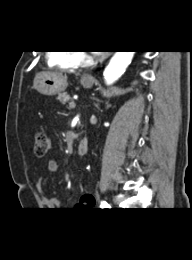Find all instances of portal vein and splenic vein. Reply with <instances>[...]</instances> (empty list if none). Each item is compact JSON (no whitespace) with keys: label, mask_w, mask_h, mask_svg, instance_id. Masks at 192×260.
<instances>
[{"label":"portal vein and splenic vein","mask_w":192,"mask_h":260,"mask_svg":"<svg viewBox=\"0 0 192 260\" xmlns=\"http://www.w3.org/2000/svg\"><path fill=\"white\" fill-rule=\"evenodd\" d=\"M75 106H76V104H75L74 101H71V102L69 103V107H70V108H75Z\"/></svg>","instance_id":"portal-vein-and-splenic-vein-1"}]
</instances>
